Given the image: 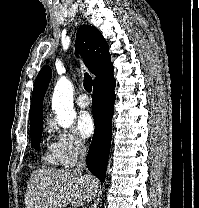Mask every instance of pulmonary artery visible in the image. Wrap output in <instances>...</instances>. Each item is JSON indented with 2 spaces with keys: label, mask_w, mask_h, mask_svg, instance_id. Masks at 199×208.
Returning a JSON list of instances; mask_svg holds the SVG:
<instances>
[{
  "label": "pulmonary artery",
  "mask_w": 199,
  "mask_h": 208,
  "mask_svg": "<svg viewBox=\"0 0 199 208\" xmlns=\"http://www.w3.org/2000/svg\"><path fill=\"white\" fill-rule=\"evenodd\" d=\"M76 104L80 108H87L90 106V100L86 94H81L76 99Z\"/></svg>",
  "instance_id": "e3ab8cb5"
}]
</instances>
